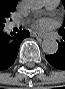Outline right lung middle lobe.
<instances>
[{
    "label": "right lung middle lobe",
    "mask_w": 65,
    "mask_h": 89,
    "mask_svg": "<svg viewBox=\"0 0 65 89\" xmlns=\"http://www.w3.org/2000/svg\"><path fill=\"white\" fill-rule=\"evenodd\" d=\"M11 11L0 9V29L4 28L6 18L10 16Z\"/></svg>",
    "instance_id": "dd1d6c3e"
}]
</instances>
